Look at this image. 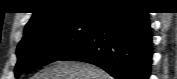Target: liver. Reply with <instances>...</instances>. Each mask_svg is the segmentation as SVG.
Returning <instances> with one entry per match:
<instances>
[{
	"label": "liver",
	"instance_id": "obj_1",
	"mask_svg": "<svg viewBox=\"0 0 177 79\" xmlns=\"http://www.w3.org/2000/svg\"><path fill=\"white\" fill-rule=\"evenodd\" d=\"M32 79H111V76L89 63L58 60L43 68Z\"/></svg>",
	"mask_w": 177,
	"mask_h": 79
}]
</instances>
